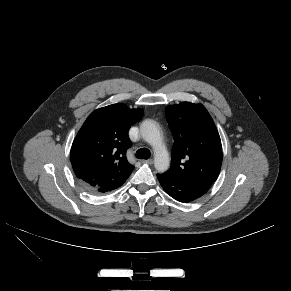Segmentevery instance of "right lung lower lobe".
Masks as SVG:
<instances>
[{
	"label": "right lung lower lobe",
	"instance_id": "obj_1",
	"mask_svg": "<svg viewBox=\"0 0 291 291\" xmlns=\"http://www.w3.org/2000/svg\"><path fill=\"white\" fill-rule=\"evenodd\" d=\"M124 182H104V183H102L98 186H95V187L86 185L83 182L82 183L90 192L105 193V192H109L111 190L116 189L117 187L121 186Z\"/></svg>",
	"mask_w": 291,
	"mask_h": 291
}]
</instances>
